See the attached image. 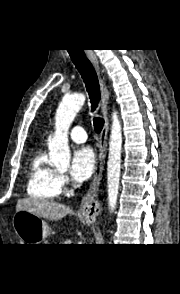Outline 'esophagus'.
<instances>
[{"instance_id": "esophagus-1", "label": "esophagus", "mask_w": 180, "mask_h": 294, "mask_svg": "<svg viewBox=\"0 0 180 294\" xmlns=\"http://www.w3.org/2000/svg\"><path fill=\"white\" fill-rule=\"evenodd\" d=\"M86 55L99 75L100 89H101V111L104 117V126L100 133L99 141V155L95 165L92 181L88 188L87 193L83 198L82 213L84 218L88 222H94L101 212L100 203L98 201V192L100 188V182L104 167V160L107 149V139L109 130V118H108V100L109 91L108 87L101 76L100 65L97 56L92 50H87Z\"/></svg>"}]
</instances>
